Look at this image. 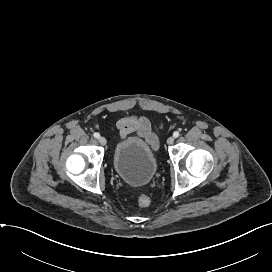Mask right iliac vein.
Returning a JSON list of instances; mask_svg holds the SVG:
<instances>
[{
	"instance_id": "right-iliac-vein-1",
	"label": "right iliac vein",
	"mask_w": 272,
	"mask_h": 272,
	"mask_svg": "<svg viewBox=\"0 0 272 272\" xmlns=\"http://www.w3.org/2000/svg\"><path fill=\"white\" fill-rule=\"evenodd\" d=\"M98 141H99V143L101 144V145H106V143H107V140L104 138V137H99L98 138Z\"/></svg>"
}]
</instances>
